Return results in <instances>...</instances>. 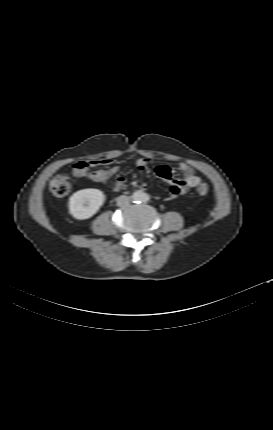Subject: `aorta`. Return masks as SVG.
Listing matches in <instances>:
<instances>
[{
    "label": "aorta",
    "instance_id": "1",
    "mask_svg": "<svg viewBox=\"0 0 273 430\" xmlns=\"http://www.w3.org/2000/svg\"><path fill=\"white\" fill-rule=\"evenodd\" d=\"M132 199H133L135 202H144V201H146V200H147V195H146L143 191L138 190V191H135V192L133 193V195H132Z\"/></svg>",
    "mask_w": 273,
    "mask_h": 430
}]
</instances>
